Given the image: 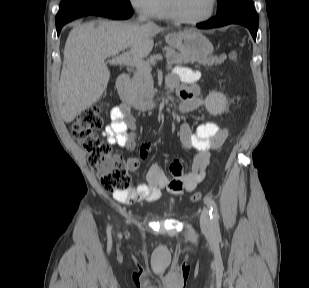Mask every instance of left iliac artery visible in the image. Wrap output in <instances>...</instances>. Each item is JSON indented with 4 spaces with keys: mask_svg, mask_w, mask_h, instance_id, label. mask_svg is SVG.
I'll return each instance as SVG.
<instances>
[{
    "mask_svg": "<svg viewBox=\"0 0 309 288\" xmlns=\"http://www.w3.org/2000/svg\"><path fill=\"white\" fill-rule=\"evenodd\" d=\"M205 202L209 208V213H210V218L212 219L213 228L215 231H217L219 229V224H218L219 214H218L216 203L211 198H206Z\"/></svg>",
    "mask_w": 309,
    "mask_h": 288,
    "instance_id": "obj_1",
    "label": "left iliac artery"
}]
</instances>
